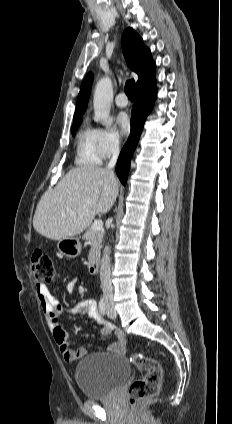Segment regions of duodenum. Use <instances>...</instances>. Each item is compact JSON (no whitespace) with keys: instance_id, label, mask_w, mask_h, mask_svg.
Segmentation results:
<instances>
[{"instance_id":"obj_1","label":"duodenum","mask_w":232,"mask_h":424,"mask_svg":"<svg viewBox=\"0 0 232 424\" xmlns=\"http://www.w3.org/2000/svg\"><path fill=\"white\" fill-rule=\"evenodd\" d=\"M98 267H99V258H98V256H94V257H92V259L89 261V264H88V272H89L90 274H94V273H96V272H97Z\"/></svg>"}]
</instances>
